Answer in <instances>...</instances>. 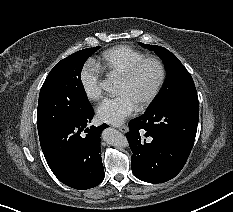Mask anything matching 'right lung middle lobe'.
<instances>
[{
	"label": "right lung middle lobe",
	"mask_w": 233,
	"mask_h": 212,
	"mask_svg": "<svg viewBox=\"0 0 233 212\" xmlns=\"http://www.w3.org/2000/svg\"><path fill=\"white\" fill-rule=\"evenodd\" d=\"M99 46L80 50L61 60L48 74L39 94V136L92 110L80 74L85 61Z\"/></svg>",
	"instance_id": "dd1d6c3e"
}]
</instances>
